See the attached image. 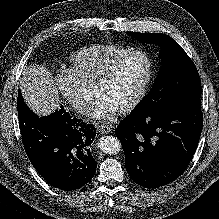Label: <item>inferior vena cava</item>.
<instances>
[{
	"mask_svg": "<svg viewBox=\"0 0 219 219\" xmlns=\"http://www.w3.org/2000/svg\"><path fill=\"white\" fill-rule=\"evenodd\" d=\"M76 109L79 113L84 114L88 111V106L86 103H81L80 105L77 106Z\"/></svg>",
	"mask_w": 219,
	"mask_h": 219,
	"instance_id": "obj_1",
	"label": "inferior vena cava"
}]
</instances>
